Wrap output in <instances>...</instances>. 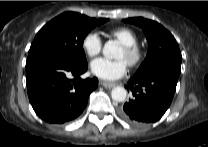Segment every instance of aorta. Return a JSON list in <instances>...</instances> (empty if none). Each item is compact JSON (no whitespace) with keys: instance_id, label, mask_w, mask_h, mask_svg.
Listing matches in <instances>:
<instances>
[{"instance_id":"obj_1","label":"aorta","mask_w":208,"mask_h":147,"mask_svg":"<svg viewBox=\"0 0 208 147\" xmlns=\"http://www.w3.org/2000/svg\"><path fill=\"white\" fill-rule=\"evenodd\" d=\"M121 51V47L117 41H107L103 46V55L107 59L116 58L118 53ZM127 91L124 87H115L111 91V97L114 101L122 102L125 100Z\"/></svg>"}]
</instances>
